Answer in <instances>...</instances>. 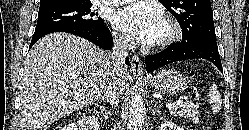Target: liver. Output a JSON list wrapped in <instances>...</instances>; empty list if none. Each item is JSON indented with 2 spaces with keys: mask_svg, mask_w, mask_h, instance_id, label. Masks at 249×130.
Segmentation results:
<instances>
[{
  "mask_svg": "<svg viewBox=\"0 0 249 130\" xmlns=\"http://www.w3.org/2000/svg\"><path fill=\"white\" fill-rule=\"evenodd\" d=\"M110 55L66 33L40 39L27 55L20 90V130H47L66 114L96 102L111 79ZM128 76L118 77L123 94Z\"/></svg>",
  "mask_w": 249,
  "mask_h": 130,
  "instance_id": "liver-1",
  "label": "liver"
}]
</instances>
